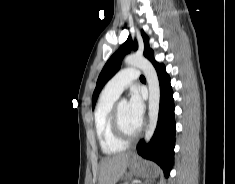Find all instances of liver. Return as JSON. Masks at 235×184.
Segmentation results:
<instances>
[{
	"mask_svg": "<svg viewBox=\"0 0 235 184\" xmlns=\"http://www.w3.org/2000/svg\"><path fill=\"white\" fill-rule=\"evenodd\" d=\"M131 152L102 158L99 164V184H116L126 174Z\"/></svg>",
	"mask_w": 235,
	"mask_h": 184,
	"instance_id": "6515ba94",
	"label": "liver"
}]
</instances>
